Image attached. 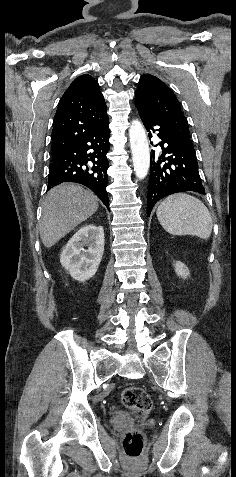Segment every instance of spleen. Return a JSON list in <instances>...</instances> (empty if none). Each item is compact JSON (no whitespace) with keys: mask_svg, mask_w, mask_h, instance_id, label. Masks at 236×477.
I'll return each mask as SVG.
<instances>
[{"mask_svg":"<svg viewBox=\"0 0 236 477\" xmlns=\"http://www.w3.org/2000/svg\"><path fill=\"white\" fill-rule=\"evenodd\" d=\"M161 226L173 235H193L208 239L212 233V217L199 199L180 193L168 196L157 208Z\"/></svg>","mask_w":236,"mask_h":477,"instance_id":"3e777b00","label":"spleen"}]
</instances>
